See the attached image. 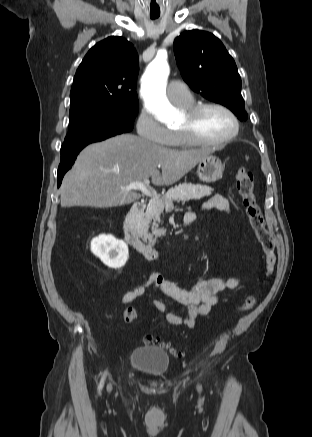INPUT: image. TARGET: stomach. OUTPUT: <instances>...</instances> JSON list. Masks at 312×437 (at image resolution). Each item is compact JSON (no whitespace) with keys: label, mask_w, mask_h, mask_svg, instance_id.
Masks as SVG:
<instances>
[{"label":"stomach","mask_w":312,"mask_h":437,"mask_svg":"<svg viewBox=\"0 0 312 437\" xmlns=\"http://www.w3.org/2000/svg\"><path fill=\"white\" fill-rule=\"evenodd\" d=\"M224 165L221 160L213 155H208L198 163L197 175L203 182H216L222 178Z\"/></svg>","instance_id":"0dacf381"}]
</instances>
